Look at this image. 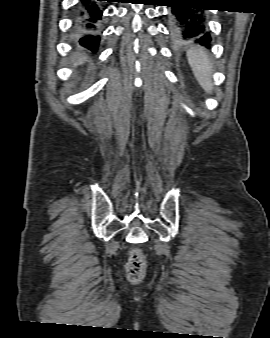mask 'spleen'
Here are the masks:
<instances>
[{"label": "spleen", "instance_id": "3e777b00", "mask_svg": "<svg viewBox=\"0 0 270 338\" xmlns=\"http://www.w3.org/2000/svg\"><path fill=\"white\" fill-rule=\"evenodd\" d=\"M188 63L194 73L195 78L201 87L209 94L212 93L213 84L211 73L213 65L203 49L190 48L187 51Z\"/></svg>", "mask_w": 270, "mask_h": 338}]
</instances>
